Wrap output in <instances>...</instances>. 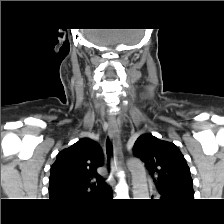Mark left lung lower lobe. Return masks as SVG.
I'll use <instances>...</instances> for the list:
<instances>
[{"label":"left lung lower lobe","mask_w":224,"mask_h":224,"mask_svg":"<svg viewBox=\"0 0 224 224\" xmlns=\"http://www.w3.org/2000/svg\"><path fill=\"white\" fill-rule=\"evenodd\" d=\"M161 197L160 200L161 201H183L186 200V198H188L185 195H178V194H171V193H160Z\"/></svg>","instance_id":"1"}]
</instances>
